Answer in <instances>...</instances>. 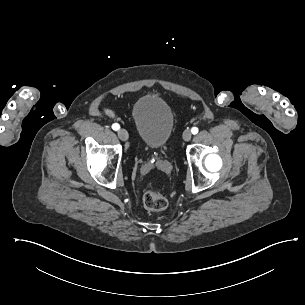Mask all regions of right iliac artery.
Instances as JSON below:
<instances>
[{
	"instance_id": "82829eb1",
	"label": "right iliac artery",
	"mask_w": 305,
	"mask_h": 305,
	"mask_svg": "<svg viewBox=\"0 0 305 305\" xmlns=\"http://www.w3.org/2000/svg\"><path fill=\"white\" fill-rule=\"evenodd\" d=\"M112 129L115 130V131H117V130L120 129V125H119L118 123H114V124L112 125Z\"/></svg>"
}]
</instances>
